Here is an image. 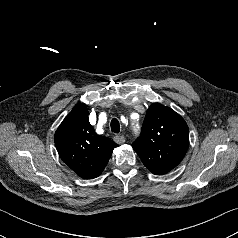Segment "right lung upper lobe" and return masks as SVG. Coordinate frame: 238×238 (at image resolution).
<instances>
[{"instance_id": "obj_1", "label": "right lung upper lobe", "mask_w": 238, "mask_h": 238, "mask_svg": "<svg viewBox=\"0 0 238 238\" xmlns=\"http://www.w3.org/2000/svg\"><path fill=\"white\" fill-rule=\"evenodd\" d=\"M54 141L62 161L84 179L98 177L117 147L114 141L95 133L83 103L64 118Z\"/></svg>"}]
</instances>
